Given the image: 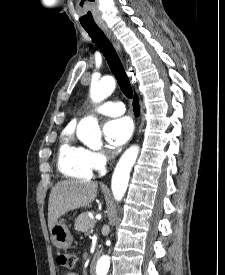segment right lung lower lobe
<instances>
[{"label":"right lung lower lobe","mask_w":225,"mask_h":275,"mask_svg":"<svg viewBox=\"0 0 225 275\" xmlns=\"http://www.w3.org/2000/svg\"><path fill=\"white\" fill-rule=\"evenodd\" d=\"M133 107H134V112L138 115L139 114V104H138V99H137L136 95L134 97Z\"/></svg>","instance_id":"1"}]
</instances>
